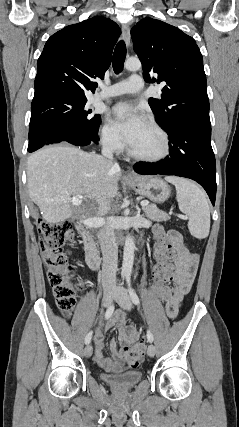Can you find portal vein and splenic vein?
<instances>
[{
	"label": "portal vein and splenic vein",
	"mask_w": 239,
	"mask_h": 427,
	"mask_svg": "<svg viewBox=\"0 0 239 427\" xmlns=\"http://www.w3.org/2000/svg\"><path fill=\"white\" fill-rule=\"evenodd\" d=\"M80 199H82V196L73 197L71 202L73 204H79L81 202ZM140 204L142 207H145L149 205V202L144 200ZM84 224L90 227H101L105 224V219L100 217L88 218L84 221Z\"/></svg>",
	"instance_id": "obj_1"
}]
</instances>
